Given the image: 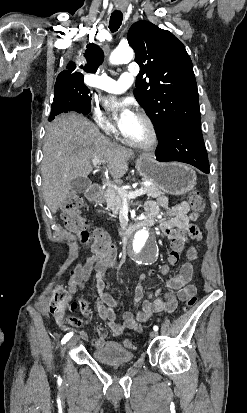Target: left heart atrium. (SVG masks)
I'll use <instances>...</instances> for the list:
<instances>
[{
	"mask_svg": "<svg viewBox=\"0 0 247 413\" xmlns=\"http://www.w3.org/2000/svg\"><path fill=\"white\" fill-rule=\"evenodd\" d=\"M106 106L111 110H119L122 114V131L125 135L138 127L142 121L141 116L132 107L128 99L110 97L105 99Z\"/></svg>",
	"mask_w": 247,
	"mask_h": 413,
	"instance_id": "39dd6f15",
	"label": "left heart atrium"
}]
</instances>
